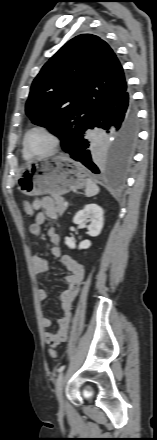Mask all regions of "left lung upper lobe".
<instances>
[{"instance_id":"obj_1","label":"left lung upper lobe","mask_w":157,"mask_h":440,"mask_svg":"<svg viewBox=\"0 0 157 440\" xmlns=\"http://www.w3.org/2000/svg\"><path fill=\"white\" fill-rule=\"evenodd\" d=\"M127 89L123 68L98 36L81 34L68 41L34 79L26 114L61 140L68 152L96 110Z\"/></svg>"}]
</instances>
